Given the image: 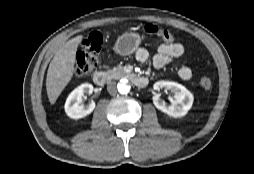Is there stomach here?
<instances>
[{
    "label": "stomach",
    "instance_id": "0dacf381",
    "mask_svg": "<svg viewBox=\"0 0 254 174\" xmlns=\"http://www.w3.org/2000/svg\"><path fill=\"white\" fill-rule=\"evenodd\" d=\"M142 42V37L138 33L126 32L119 36L114 44V51L126 56L134 53Z\"/></svg>",
    "mask_w": 254,
    "mask_h": 174
}]
</instances>
